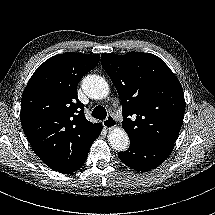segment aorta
<instances>
[{
  "label": "aorta",
  "instance_id": "aorta-1",
  "mask_svg": "<svg viewBox=\"0 0 215 215\" xmlns=\"http://www.w3.org/2000/svg\"><path fill=\"white\" fill-rule=\"evenodd\" d=\"M87 95L94 99H103L109 93L108 83L100 76L90 75L83 80ZM108 141L110 146L118 152L126 151L130 140L124 129L115 128L109 133Z\"/></svg>",
  "mask_w": 215,
  "mask_h": 215
}]
</instances>
